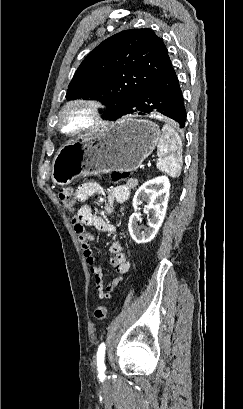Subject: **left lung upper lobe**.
I'll return each instance as SVG.
<instances>
[{"mask_svg": "<svg viewBox=\"0 0 243 409\" xmlns=\"http://www.w3.org/2000/svg\"><path fill=\"white\" fill-rule=\"evenodd\" d=\"M172 69L163 41L151 29L117 33L90 52L70 82L68 99L90 98L115 120L153 82Z\"/></svg>", "mask_w": 243, "mask_h": 409, "instance_id": "5c2ea615", "label": "left lung upper lobe"}]
</instances>
